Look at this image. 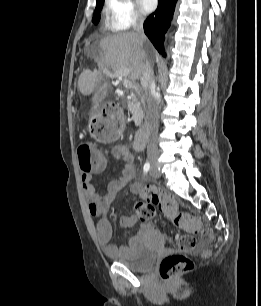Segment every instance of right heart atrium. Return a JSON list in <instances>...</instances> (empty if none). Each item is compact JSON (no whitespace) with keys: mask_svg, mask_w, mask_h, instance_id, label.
I'll list each match as a JSON object with an SVG mask.
<instances>
[{"mask_svg":"<svg viewBox=\"0 0 261 306\" xmlns=\"http://www.w3.org/2000/svg\"><path fill=\"white\" fill-rule=\"evenodd\" d=\"M107 7L109 23L114 30H128L143 22V17L133 0H107Z\"/></svg>","mask_w":261,"mask_h":306,"instance_id":"right-heart-atrium-1","label":"right heart atrium"}]
</instances>
